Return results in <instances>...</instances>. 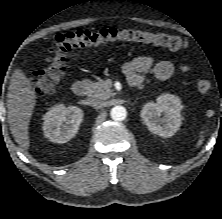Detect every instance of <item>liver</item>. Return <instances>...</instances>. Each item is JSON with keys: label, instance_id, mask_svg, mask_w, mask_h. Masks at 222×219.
<instances>
[{"label": "liver", "instance_id": "1", "mask_svg": "<svg viewBox=\"0 0 222 219\" xmlns=\"http://www.w3.org/2000/svg\"><path fill=\"white\" fill-rule=\"evenodd\" d=\"M7 95V113L10 131L20 147L28 150L29 123L36 104V93L25 73L14 70Z\"/></svg>", "mask_w": 222, "mask_h": 219}]
</instances>
